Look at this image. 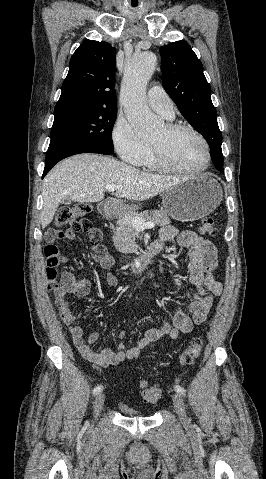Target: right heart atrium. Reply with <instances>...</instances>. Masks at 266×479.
<instances>
[{
  "mask_svg": "<svg viewBox=\"0 0 266 479\" xmlns=\"http://www.w3.org/2000/svg\"><path fill=\"white\" fill-rule=\"evenodd\" d=\"M111 140L119 157L132 165L139 166L151 153L149 142L141 139L123 117L116 119L111 131Z\"/></svg>",
  "mask_w": 266,
  "mask_h": 479,
  "instance_id": "1",
  "label": "right heart atrium"
}]
</instances>
